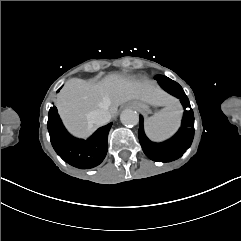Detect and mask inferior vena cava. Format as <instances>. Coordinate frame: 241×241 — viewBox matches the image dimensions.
<instances>
[{
    "label": "inferior vena cava",
    "instance_id": "602c4592",
    "mask_svg": "<svg viewBox=\"0 0 241 241\" xmlns=\"http://www.w3.org/2000/svg\"><path fill=\"white\" fill-rule=\"evenodd\" d=\"M110 119L111 114L106 109H97L87 114V121L98 126H102L108 123Z\"/></svg>",
    "mask_w": 241,
    "mask_h": 241
}]
</instances>
